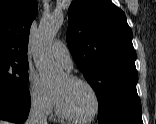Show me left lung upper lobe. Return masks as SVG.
Masks as SVG:
<instances>
[{
    "mask_svg": "<svg viewBox=\"0 0 156 124\" xmlns=\"http://www.w3.org/2000/svg\"><path fill=\"white\" fill-rule=\"evenodd\" d=\"M66 41L97 95L98 118L115 113L141 116L136 52L123 11L110 0L72 2Z\"/></svg>",
    "mask_w": 156,
    "mask_h": 124,
    "instance_id": "obj_1",
    "label": "left lung upper lobe"
}]
</instances>
